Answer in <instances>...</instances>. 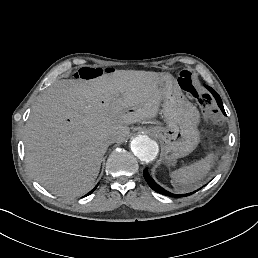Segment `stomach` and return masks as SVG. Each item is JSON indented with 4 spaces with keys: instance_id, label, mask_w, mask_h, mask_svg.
Listing matches in <instances>:
<instances>
[{
    "instance_id": "stomach-1",
    "label": "stomach",
    "mask_w": 258,
    "mask_h": 258,
    "mask_svg": "<svg viewBox=\"0 0 258 258\" xmlns=\"http://www.w3.org/2000/svg\"><path fill=\"white\" fill-rule=\"evenodd\" d=\"M155 85L162 93L161 113L166 126H154L151 132L161 144V157L167 164L176 163L200 143V113L172 74H160Z\"/></svg>"
}]
</instances>
